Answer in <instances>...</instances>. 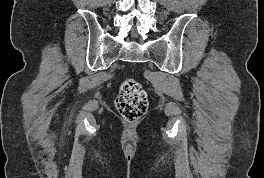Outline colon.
Masks as SVG:
<instances>
[{"mask_svg":"<svg viewBox=\"0 0 264 178\" xmlns=\"http://www.w3.org/2000/svg\"><path fill=\"white\" fill-rule=\"evenodd\" d=\"M115 106L127 121L140 119L148 109V99L142 85L133 78L126 79L115 99Z\"/></svg>","mask_w":264,"mask_h":178,"instance_id":"colon-1","label":"colon"}]
</instances>
